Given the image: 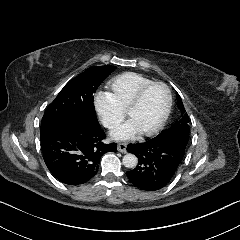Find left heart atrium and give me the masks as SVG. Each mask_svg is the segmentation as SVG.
Segmentation results:
<instances>
[{"mask_svg":"<svg viewBox=\"0 0 240 240\" xmlns=\"http://www.w3.org/2000/svg\"><path fill=\"white\" fill-rule=\"evenodd\" d=\"M140 132L138 126L129 120L112 133V138L118 141L129 140L135 138Z\"/></svg>","mask_w":240,"mask_h":240,"instance_id":"obj_1","label":"left heart atrium"}]
</instances>
